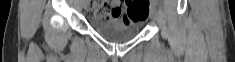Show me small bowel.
I'll return each mask as SVG.
<instances>
[{
	"label": "small bowel",
	"instance_id": "1",
	"mask_svg": "<svg viewBox=\"0 0 235 62\" xmlns=\"http://www.w3.org/2000/svg\"><path fill=\"white\" fill-rule=\"evenodd\" d=\"M89 18L93 22H104L105 24L116 25L123 23L126 25L133 24L128 21L126 16L121 17V1L112 0L110 8H103L99 5H94L89 11Z\"/></svg>",
	"mask_w": 235,
	"mask_h": 62
}]
</instances>
